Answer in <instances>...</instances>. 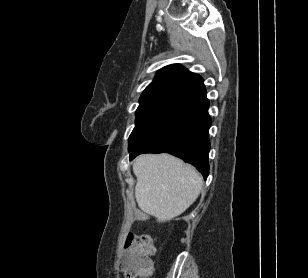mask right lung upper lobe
Instances as JSON below:
<instances>
[{
  "mask_svg": "<svg viewBox=\"0 0 308 278\" xmlns=\"http://www.w3.org/2000/svg\"><path fill=\"white\" fill-rule=\"evenodd\" d=\"M206 99L201 76L179 64L163 67L140 97L136 116L150 114L182 115Z\"/></svg>",
  "mask_w": 308,
  "mask_h": 278,
  "instance_id": "right-lung-upper-lobe-1",
  "label": "right lung upper lobe"
}]
</instances>
